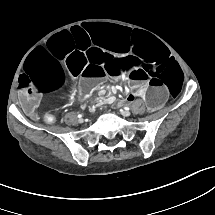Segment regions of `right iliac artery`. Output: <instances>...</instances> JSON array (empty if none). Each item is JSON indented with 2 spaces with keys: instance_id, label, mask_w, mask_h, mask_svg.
Returning <instances> with one entry per match:
<instances>
[{
  "instance_id": "obj_1",
  "label": "right iliac artery",
  "mask_w": 215,
  "mask_h": 215,
  "mask_svg": "<svg viewBox=\"0 0 215 215\" xmlns=\"http://www.w3.org/2000/svg\"><path fill=\"white\" fill-rule=\"evenodd\" d=\"M81 117H82V115H81V114H79V115H78V118H81Z\"/></svg>"
}]
</instances>
